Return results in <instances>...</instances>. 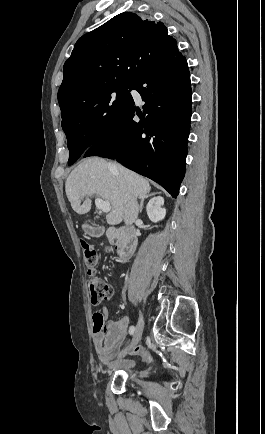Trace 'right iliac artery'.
Returning <instances> with one entry per match:
<instances>
[{
	"label": "right iliac artery",
	"instance_id": "1",
	"mask_svg": "<svg viewBox=\"0 0 265 434\" xmlns=\"http://www.w3.org/2000/svg\"><path fill=\"white\" fill-rule=\"evenodd\" d=\"M134 331H135V327H134V326H131L130 329H129V333H130V335H133V334H134Z\"/></svg>",
	"mask_w": 265,
	"mask_h": 434
}]
</instances>
